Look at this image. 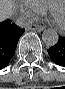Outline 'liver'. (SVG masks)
<instances>
[{"label":"liver","instance_id":"liver-1","mask_svg":"<svg viewBox=\"0 0 65 89\" xmlns=\"http://www.w3.org/2000/svg\"><path fill=\"white\" fill-rule=\"evenodd\" d=\"M13 0H0V19L5 20L14 14Z\"/></svg>","mask_w":65,"mask_h":89}]
</instances>
